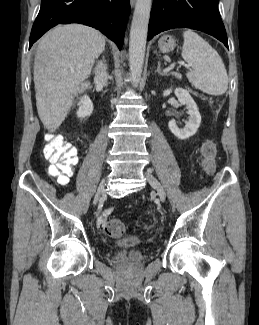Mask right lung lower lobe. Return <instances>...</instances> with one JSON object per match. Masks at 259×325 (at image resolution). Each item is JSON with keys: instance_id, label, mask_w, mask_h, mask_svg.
Segmentation results:
<instances>
[{"instance_id": "98d812e1", "label": "right lung lower lobe", "mask_w": 259, "mask_h": 325, "mask_svg": "<svg viewBox=\"0 0 259 325\" xmlns=\"http://www.w3.org/2000/svg\"><path fill=\"white\" fill-rule=\"evenodd\" d=\"M129 12V0H42L29 48L57 24L80 23L100 30L121 50Z\"/></svg>"}]
</instances>
